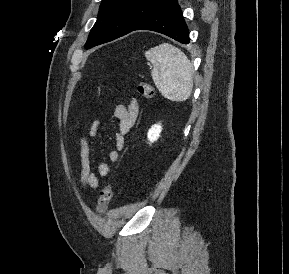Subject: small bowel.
Masks as SVG:
<instances>
[{"label":"small bowel","instance_id":"c3829d8e","mask_svg":"<svg viewBox=\"0 0 289 274\" xmlns=\"http://www.w3.org/2000/svg\"><path fill=\"white\" fill-rule=\"evenodd\" d=\"M139 112V105L135 99L128 104L118 103L115 105L114 115L117 120V133L115 138V147L109 152V159L112 162L119 161L120 153L125 148V139L134 125ZM100 121L93 119L88 129V137L95 140L98 136ZM87 136L80 139V161L81 174L80 182L86 188L97 189L99 187L98 174L107 176L112 172V166L106 162H101L97 166V171L92 167L91 147Z\"/></svg>","mask_w":289,"mask_h":274}]
</instances>
